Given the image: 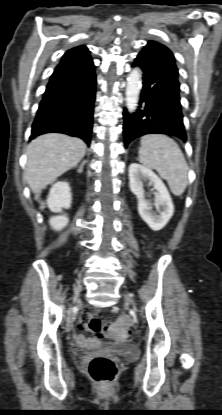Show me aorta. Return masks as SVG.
I'll use <instances>...</instances> for the list:
<instances>
[{
	"instance_id": "1",
	"label": "aorta",
	"mask_w": 222,
	"mask_h": 415,
	"mask_svg": "<svg viewBox=\"0 0 222 415\" xmlns=\"http://www.w3.org/2000/svg\"><path fill=\"white\" fill-rule=\"evenodd\" d=\"M141 87L142 72L139 68H134L127 78L126 86V107L130 113L137 109Z\"/></svg>"
}]
</instances>
